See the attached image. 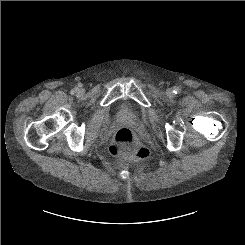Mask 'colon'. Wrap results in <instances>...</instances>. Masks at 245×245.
Here are the masks:
<instances>
[{"label": "colon", "mask_w": 245, "mask_h": 245, "mask_svg": "<svg viewBox=\"0 0 245 245\" xmlns=\"http://www.w3.org/2000/svg\"><path fill=\"white\" fill-rule=\"evenodd\" d=\"M111 154L144 159L149 155L148 149L139 144L133 132L128 128H121L115 134L109 146Z\"/></svg>", "instance_id": "5ec220e1"}]
</instances>
